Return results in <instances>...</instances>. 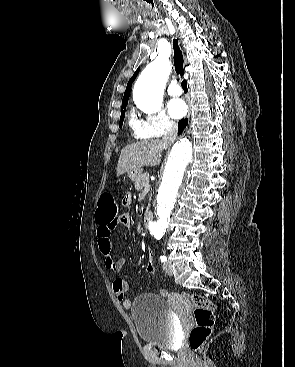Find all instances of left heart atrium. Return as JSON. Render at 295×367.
I'll return each instance as SVG.
<instances>
[{
  "instance_id": "1",
  "label": "left heart atrium",
  "mask_w": 295,
  "mask_h": 367,
  "mask_svg": "<svg viewBox=\"0 0 295 367\" xmlns=\"http://www.w3.org/2000/svg\"><path fill=\"white\" fill-rule=\"evenodd\" d=\"M168 110L173 118L178 119L186 114L187 107L183 100L173 99L168 104Z\"/></svg>"
}]
</instances>
